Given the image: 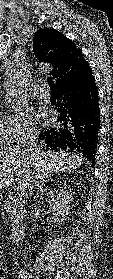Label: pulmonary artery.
Masks as SVG:
<instances>
[{"label": "pulmonary artery", "mask_w": 113, "mask_h": 279, "mask_svg": "<svg viewBox=\"0 0 113 279\" xmlns=\"http://www.w3.org/2000/svg\"><path fill=\"white\" fill-rule=\"evenodd\" d=\"M34 87L36 89V92L39 95H41L45 100L50 99V90L45 83L43 82L36 83Z\"/></svg>", "instance_id": "1"}]
</instances>
